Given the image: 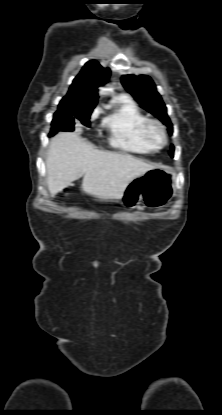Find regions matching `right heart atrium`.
<instances>
[{
    "label": "right heart atrium",
    "mask_w": 222,
    "mask_h": 415,
    "mask_svg": "<svg viewBox=\"0 0 222 415\" xmlns=\"http://www.w3.org/2000/svg\"><path fill=\"white\" fill-rule=\"evenodd\" d=\"M99 111L98 110H94L90 116L91 120H95L98 117Z\"/></svg>",
    "instance_id": "d8ad5b80"
}]
</instances>
